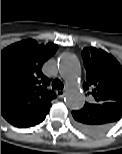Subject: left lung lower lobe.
I'll list each match as a JSON object with an SVG mask.
<instances>
[{"mask_svg": "<svg viewBox=\"0 0 122 154\" xmlns=\"http://www.w3.org/2000/svg\"><path fill=\"white\" fill-rule=\"evenodd\" d=\"M122 116L121 102L85 103L74 115V124L90 134L100 133L111 127Z\"/></svg>", "mask_w": 122, "mask_h": 154, "instance_id": "0a47b994", "label": "left lung lower lobe"}]
</instances>
